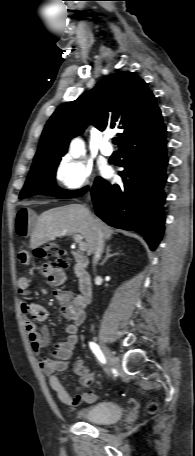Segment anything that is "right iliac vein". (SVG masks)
I'll use <instances>...</instances> for the list:
<instances>
[{
	"label": "right iliac vein",
	"instance_id": "right-iliac-vein-1",
	"mask_svg": "<svg viewBox=\"0 0 195 456\" xmlns=\"http://www.w3.org/2000/svg\"><path fill=\"white\" fill-rule=\"evenodd\" d=\"M102 350H103L105 358L108 362L109 367L114 368L117 364L116 359L114 358V356L111 354L110 350L105 345H102Z\"/></svg>",
	"mask_w": 195,
	"mask_h": 456
}]
</instances>
